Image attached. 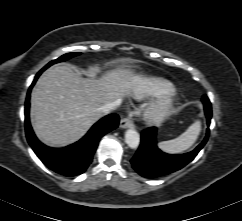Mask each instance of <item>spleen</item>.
<instances>
[{
	"label": "spleen",
	"mask_w": 242,
	"mask_h": 221,
	"mask_svg": "<svg viewBox=\"0 0 242 221\" xmlns=\"http://www.w3.org/2000/svg\"><path fill=\"white\" fill-rule=\"evenodd\" d=\"M200 131L201 123L200 121H196L179 137L168 141H162L158 146L162 151L170 154L181 153L189 149L195 143Z\"/></svg>",
	"instance_id": "1"
}]
</instances>
